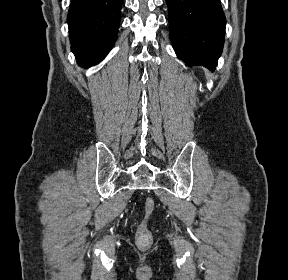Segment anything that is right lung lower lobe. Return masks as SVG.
Returning <instances> with one entry per match:
<instances>
[{"mask_svg": "<svg viewBox=\"0 0 288 280\" xmlns=\"http://www.w3.org/2000/svg\"><path fill=\"white\" fill-rule=\"evenodd\" d=\"M122 0H71L67 22L71 50L84 68L98 64L113 47Z\"/></svg>", "mask_w": 288, "mask_h": 280, "instance_id": "obj_1", "label": "right lung lower lobe"}]
</instances>
